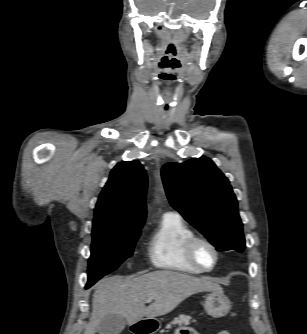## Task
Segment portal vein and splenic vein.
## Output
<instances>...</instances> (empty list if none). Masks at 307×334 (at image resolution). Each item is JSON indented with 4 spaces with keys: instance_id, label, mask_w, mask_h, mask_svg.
I'll return each instance as SVG.
<instances>
[{
    "instance_id": "obj_1",
    "label": "portal vein and splenic vein",
    "mask_w": 307,
    "mask_h": 334,
    "mask_svg": "<svg viewBox=\"0 0 307 334\" xmlns=\"http://www.w3.org/2000/svg\"><path fill=\"white\" fill-rule=\"evenodd\" d=\"M152 300H153L152 298H148V299L146 300V302H147V303H150Z\"/></svg>"
}]
</instances>
